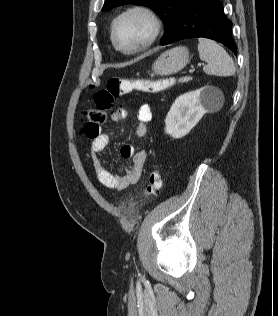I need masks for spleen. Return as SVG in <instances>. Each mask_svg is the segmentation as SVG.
Returning a JSON list of instances; mask_svg holds the SVG:
<instances>
[{
    "label": "spleen",
    "instance_id": "3e777b00",
    "mask_svg": "<svg viewBox=\"0 0 278 316\" xmlns=\"http://www.w3.org/2000/svg\"><path fill=\"white\" fill-rule=\"evenodd\" d=\"M198 52L200 59L207 63L203 68L205 73L218 76H231L235 73L232 57L215 41L200 38Z\"/></svg>",
    "mask_w": 278,
    "mask_h": 316
}]
</instances>
